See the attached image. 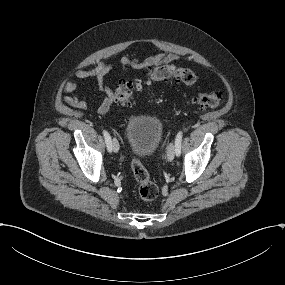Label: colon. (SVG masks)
Returning a JSON list of instances; mask_svg holds the SVG:
<instances>
[{"instance_id": "1", "label": "colon", "mask_w": 285, "mask_h": 285, "mask_svg": "<svg viewBox=\"0 0 285 285\" xmlns=\"http://www.w3.org/2000/svg\"><path fill=\"white\" fill-rule=\"evenodd\" d=\"M169 80L182 82L192 88L195 87L197 83L195 74L189 69L173 64L152 67L144 71V77L142 79L119 81L114 92V102L120 106H129L133 102L134 92L141 89L144 85ZM192 101L200 109H214L221 105L222 95L220 92H196ZM131 169L138 183V194L140 198L145 201L155 199L158 195V187L151 180L145 166L140 160L133 159Z\"/></svg>"}]
</instances>
